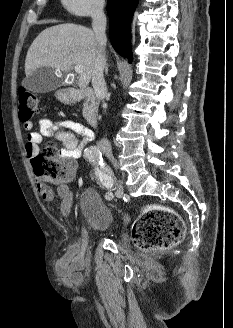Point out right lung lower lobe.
<instances>
[{
	"instance_id": "right-lung-lower-lobe-1",
	"label": "right lung lower lobe",
	"mask_w": 233,
	"mask_h": 328,
	"mask_svg": "<svg viewBox=\"0 0 233 328\" xmlns=\"http://www.w3.org/2000/svg\"><path fill=\"white\" fill-rule=\"evenodd\" d=\"M139 0H110L107 12L110 18L112 46L121 56L132 61L130 23Z\"/></svg>"
}]
</instances>
